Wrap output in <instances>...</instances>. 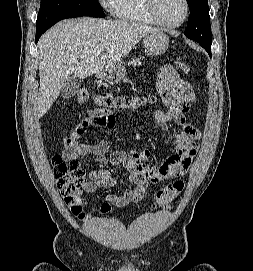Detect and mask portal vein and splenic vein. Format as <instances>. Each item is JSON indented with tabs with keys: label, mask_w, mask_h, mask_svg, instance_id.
Masks as SVG:
<instances>
[{
	"label": "portal vein and splenic vein",
	"mask_w": 253,
	"mask_h": 271,
	"mask_svg": "<svg viewBox=\"0 0 253 271\" xmlns=\"http://www.w3.org/2000/svg\"><path fill=\"white\" fill-rule=\"evenodd\" d=\"M102 51H103L102 49H98V50H96V54L99 55V54H101Z\"/></svg>",
	"instance_id": "obj_1"
}]
</instances>
